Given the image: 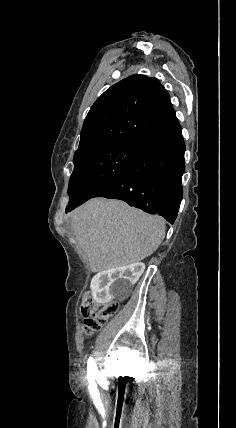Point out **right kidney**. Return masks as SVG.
<instances>
[{
    "label": "right kidney",
    "mask_w": 236,
    "mask_h": 428,
    "mask_svg": "<svg viewBox=\"0 0 236 428\" xmlns=\"http://www.w3.org/2000/svg\"><path fill=\"white\" fill-rule=\"evenodd\" d=\"M145 270L143 262L115 269H100L91 282V290L98 306H109L110 301L131 299L132 286Z\"/></svg>",
    "instance_id": "1"
}]
</instances>
